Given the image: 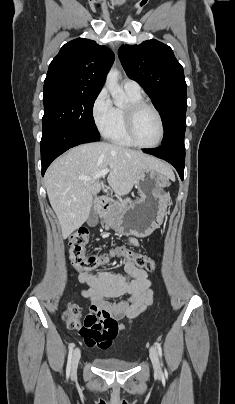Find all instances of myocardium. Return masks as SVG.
<instances>
[{
  "label": "myocardium",
  "mask_w": 235,
  "mask_h": 404,
  "mask_svg": "<svg viewBox=\"0 0 235 404\" xmlns=\"http://www.w3.org/2000/svg\"><path fill=\"white\" fill-rule=\"evenodd\" d=\"M143 109H149L151 110L157 117L158 122H159V137L158 140L150 145L142 144L140 143L135 135V121L137 118V115L143 110ZM124 116H125V130L128 138L130 141L137 147L140 148H155L158 145L161 144L163 138H164V133H165V128H164V122L162 119V116L160 112L151 104L146 103L144 101H139V102H132L129 103L125 108H124Z\"/></svg>",
  "instance_id": "myocardium-1"
}]
</instances>
